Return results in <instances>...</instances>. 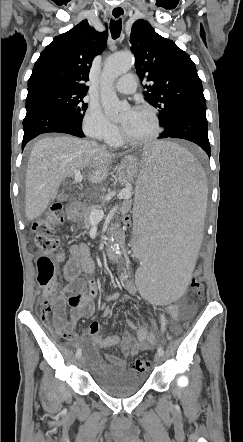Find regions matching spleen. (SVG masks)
<instances>
[{
	"mask_svg": "<svg viewBox=\"0 0 243 442\" xmlns=\"http://www.w3.org/2000/svg\"><path fill=\"white\" fill-rule=\"evenodd\" d=\"M135 177L134 277L138 296L153 307L182 302L203 232L206 178L197 159L179 145L159 141L143 147ZM152 192V193H142Z\"/></svg>",
	"mask_w": 243,
	"mask_h": 442,
	"instance_id": "obj_1",
	"label": "spleen"
}]
</instances>
